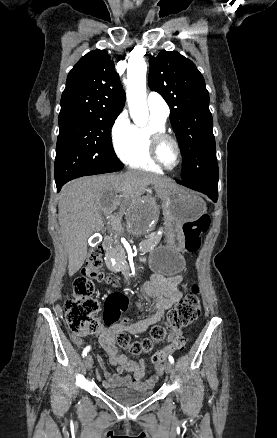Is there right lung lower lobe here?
<instances>
[{"instance_id":"98d812e1","label":"right lung lower lobe","mask_w":277,"mask_h":438,"mask_svg":"<svg viewBox=\"0 0 277 438\" xmlns=\"http://www.w3.org/2000/svg\"><path fill=\"white\" fill-rule=\"evenodd\" d=\"M101 174V173H100ZM94 175V174H93ZM79 178V177H78ZM75 179V178H74ZM72 180V179H71ZM68 181H70V180H67V181H62V182H56V186H57V191L59 192L60 191V189H61V187L65 184V183H67Z\"/></svg>"}]
</instances>
